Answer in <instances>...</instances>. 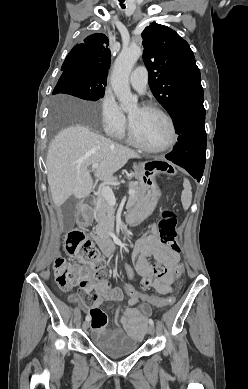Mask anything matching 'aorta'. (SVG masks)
<instances>
[{
  "label": "aorta",
  "instance_id": "obj_1",
  "mask_svg": "<svg viewBox=\"0 0 248 389\" xmlns=\"http://www.w3.org/2000/svg\"><path fill=\"white\" fill-rule=\"evenodd\" d=\"M141 55L142 50L138 46L123 48L114 63L111 87L124 111H129L137 106L138 99L131 93L129 76Z\"/></svg>",
  "mask_w": 248,
  "mask_h": 389
}]
</instances>
